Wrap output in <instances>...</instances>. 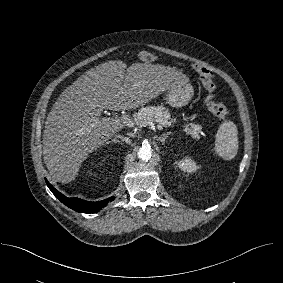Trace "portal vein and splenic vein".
<instances>
[{"label":"portal vein and splenic vein","instance_id":"portal-vein-and-splenic-vein-1","mask_svg":"<svg viewBox=\"0 0 283 283\" xmlns=\"http://www.w3.org/2000/svg\"><path fill=\"white\" fill-rule=\"evenodd\" d=\"M120 120L127 127H133L134 126L133 120L128 115H122L120 117ZM150 125H151V128H153V129L163 130V127L161 125H154L153 123H151Z\"/></svg>","mask_w":283,"mask_h":283}]
</instances>
